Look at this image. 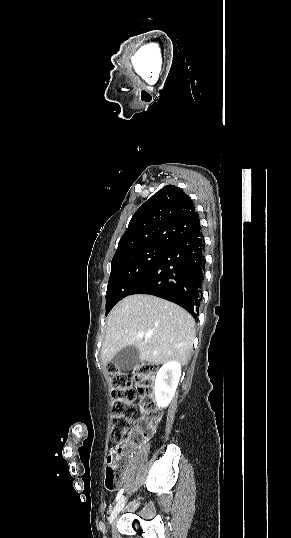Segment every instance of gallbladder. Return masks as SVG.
Masks as SVG:
<instances>
[{
	"instance_id": "bac80fb5",
	"label": "gallbladder",
	"mask_w": 291,
	"mask_h": 538,
	"mask_svg": "<svg viewBox=\"0 0 291 538\" xmlns=\"http://www.w3.org/2000/svg\"><path fill=\"white\" fill-rule=\"evenodd\" d=\"M139 361V350L134 346L123 348L113 358L116 368L123 371L131 370Z\"/></svg>"
}]
</instances>
